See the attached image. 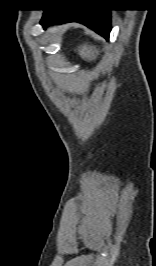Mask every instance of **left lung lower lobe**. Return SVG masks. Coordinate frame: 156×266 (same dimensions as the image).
<instances>
[{"label": "left lung lower lobe", "instance_id": "1", "mask_svg": "<svg viewBox=\"0 0 156 266\" xmlns=\"http://www.w3.org/2000/svg\"><path fill=\"white\" fill-rule=\"evenodd\" d=\"M110 17L109 9H55L44 10L41 23L48 26L75 21L108 39L111 31Z\"/></svg>", "mask_w": 156, "mask_h": 266}]
</instances>
